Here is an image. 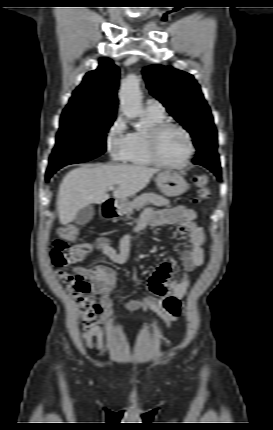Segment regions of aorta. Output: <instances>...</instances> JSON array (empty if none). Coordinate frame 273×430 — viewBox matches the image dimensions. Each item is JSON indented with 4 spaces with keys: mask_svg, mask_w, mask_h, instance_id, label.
Masks as SVG:
<instances>
[{
    "mask_svg": "<svg viewBox=\"0 0 273 430\" xmlns=\"http://www.w3.org/2000/svg\"><path fill=\"white\" fill-rule=\"evenodd\" d=\"M120 109L129 119L143 114L142 94L136 75H129L122 83L120 91Z\"/></svg>",
    "mask_w": 273,
    "mask_h": 430,
    "instance_id": "762f6f07",
    "label": "aorta"
}]
</instances>
